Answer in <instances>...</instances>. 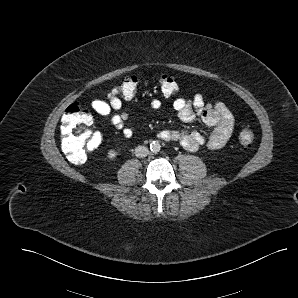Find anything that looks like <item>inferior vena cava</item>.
<instances>
[{
  "label": "inferior vena cava",
  "instance_id": "inferior-vena-cava-1",
  "mask_svg": "<svg viewBox=\"0 0 298 298\" xmlns=\"http://www.w3.org/2000/svg\"><path fill=\"white\" fill-rule=\"evenodd\" d=\"M148 154H149V150L145 146H138V147L135 148V155L138 158L147 157Z\"/></svg>",
  "mask_w": 298,
  "mask_h": 298
}]
</instances>
